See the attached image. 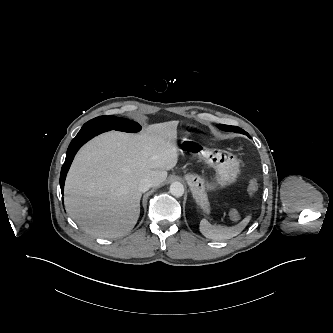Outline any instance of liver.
I'll list each match as a JSON object with an SVG mask.
<instances>
[{
    "mask_svg": "<svg viewBox=\"0 0 333 333\" xmlns=\"http://www.w3.org/2000/svg\"><path fill=\"white\" fill-rule=\"evenodd\" d=\"M178 121L149 125L139 134L111 131L77 153L64 187L71 218L87 233L116 238L129 233L140 214L139 182L158 186L175 167Z\"/></svg>",
    "mask_w": 333,
    "mask_h": 333,
    "instance_id": "obj_1",
    "label": "liver"
}]
</instances>
